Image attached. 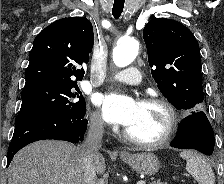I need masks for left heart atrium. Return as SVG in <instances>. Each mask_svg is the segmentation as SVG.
Returning a JSON list of instances; mask_svg holds the SVG:
<instances>
[{"label":"left heart atrium","mask_w":224,"mask_h":184,"mask_svg":"<svg viewBox=\"0 0 224 184\" xmlns=\"http://www.w3.org/2000/svg\"><path fill=\"white\" fill-rule=\"evenodd\" d=\"M97 103L106 121L126 127L135 120L140 104L133 98L117 94L100 97Z\"/></svg>","instance_id":"obj_1"}]
</instances>
